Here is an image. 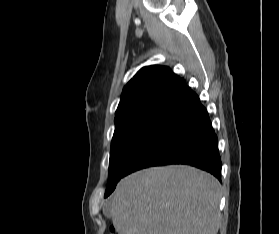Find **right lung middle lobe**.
<instances>
[{
    "label": "right lung middle lobe",
    "instance_id": "dd1d6c3e",
    "mask_svg": "<svg viewBox=\"0 0 279 234\" xmlns=\"http://www.w3.org/2000/svg\"><path fill=\"white\" fill-rule=\"evenodd\" d=\"M171 107L156 106L138 109L115 117V132L111 143L109 179L105 196L110 195L134 153L150 135Z\"/></svg>",
    "mask_w": 279,
    "mask_h": 234
}]
</instances>
